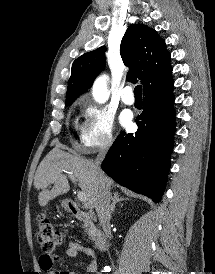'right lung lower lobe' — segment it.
<instances>
[{
  "mask_svg": "<svg viewBox=\"0 0 215 274\" xmlns=\"http://www.w3.org/2000/svg\"><path fill=\"white\" fill-rule=\"evenodd\" d=\"M173 83L144 94L136 133L122 132L101 168L117 183L159 202L170 167L175 132Z\"/></svg>",
  "mask_w": 215,
  "mask_h": 274,
  "instance_id": "1",
  "label": "right lung lower lobe"
}]
</instances>
